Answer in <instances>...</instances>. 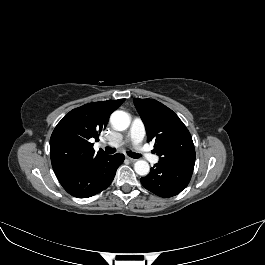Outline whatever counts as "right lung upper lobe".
<instances>
[{
	"instance_id": "right-lung-upper-lobe-1",
	"label": "right lung upper lobe",
	"mask_w": 265,
	"mask_h": 265,
	"mask_svg": "<svg viewBox=\"0 0 265 265\" xmlns=\"http://www.w3.org/2000/svg\"><path fill=\"white\" fill-rule=\"evenodd\" d=\"M124 99L85 104L67 113L50 138V157L57 178L66 176L104 155L95 153L90 139L98 141L109 117Z\"/></svg>"
}]
</instances>
